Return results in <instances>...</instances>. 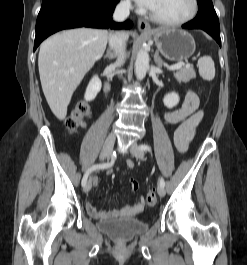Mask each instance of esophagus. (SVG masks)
Wrapping results in <instances>:
<instances>
[{
    "label": "esophagus",
    "mask_w": 247,
    "mask_h": 265,
    "mask_svg": "<svg viewBox=\"0 0 247 265\" xmlns=\"http://www.w3.org/2000/svg\"><path fill=\"white\" fill-rule=\"evenodd\" d=\"M137 27L139 29V31L143 32V33H147V32H150L151 31V26L150 24L142 19V18H139L138 21H137Z\"/></svg>",
    "instance_id": "esophagus-1"
}]
</instances>
